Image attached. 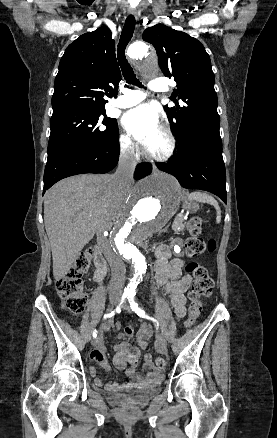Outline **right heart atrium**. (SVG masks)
<instances>
[{"label": "right heart atrium", "instance_id": "obj_1", "mask_svg": "<svg viewBox=\"0 0 277 438\" xmlns=\"http://www.w3.org/2000/svg\"><path fill=\"white\" fill-rule=\"evenodd\" d=\"M119 146L124 155H131L134 152L135 144L131 137L126 133L119 135Z\"/></svg>", "mask_w": 277, "mask_h": 438}]
</instances>
